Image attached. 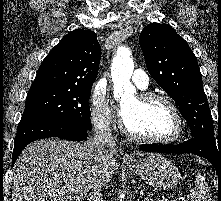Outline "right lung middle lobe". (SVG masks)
<instances>
[{
  "mask_svg": "<svg viewBox=\"0 0 221 201\" xmlns=\"http://www.w3.org/2000/svg\"><path fill=\"white\" fill-rule=\"evenodd\" d=\"M90 95L91 89L30 88L21 120L44 117L91 127Z\"/></svg>",
  "mask_w": 221,
  "mask_h": 201,
  "instance_id": "dd1d6c3e",
  "label": "right lung middle lobe"
}]
</instances>
